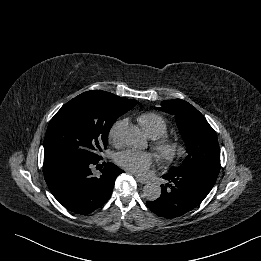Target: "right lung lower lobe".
Wrapping results in <instances>:
<instances>
[{
    "label": "right lung lower lobe",
    "instance_id": "98d812e1",
    "mask_svg": "<svg viewBox=\"0 0 261 261\" xmlns=\"http://www.w3.org/2000/svg\"><path fill=\"white\" fill-rule=\"evenodd\" d=\"M101 159L100 156L64 157L44 161L45 181L53 196L66 209L85 215L108 200L116 177L124 171L114 164L103 163L101 175L93 176L92 168L101 166Z\"/></svg>",
    "mask_w": 261,
    "mask_h": 261
}]
</instances>
